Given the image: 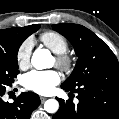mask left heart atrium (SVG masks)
Wrapping results in <instances>:
<instances>
[{
    "instance_id": "39dd6f15",
    "label": "left heart atrium",
    "mask_w": 119,
    "mask_h": 119,
    "mask_svg": "<svg viewBox=\"0 0 119 119\" xmlns=\"http://www.w3.org/2000/svg\"><path fill=\"white\" fill-rule=\"evenodd\" d=\"M60 82V75L55 70H33L23 77L25 88L39 94H48Z\"/></svg>"
}]
</instances>
